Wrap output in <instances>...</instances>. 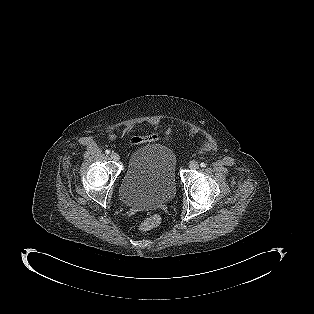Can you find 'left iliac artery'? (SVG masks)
I'll list each match as a JSON object with an SVG mask.
<instances>
[{"label": "left iliac artery", "mask_w": 314, "mask_h": 314, "mask_svg": "<svg viewBox=\"0 0 314 314\" xmlns=\"http://www.w3.org/2000/svg\"><path fill=\"white\" fill-rule=\"evenodd\" d=\"M200 166H201V167H206V164H205L204 162H202V163L200 164Z\"/></svg>", "instance_id": "1"}]
</instances>
